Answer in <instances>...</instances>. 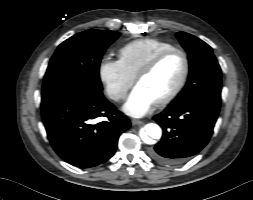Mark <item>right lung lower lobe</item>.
<instances>
[{
  "label": "right lung lower lobe",
  "instance_id": "right-lung-lower-lobe-1",
  "mask_svg": "<svg viewBox=\"0 0 253 200\" xmlns=\"http://www.w3.org/2000/svg\"><path fill=\"white\" fill-rule=\"evenodd\" d=\"M41 110L55 152L81 168L111 158L119 136L130 127V121L103 95L72 89L42 92ZM99 117L107 119L96 123Z\"/></svg>",
  "mask_w": 253,
  "mask_h": 200
}]
</instances>
